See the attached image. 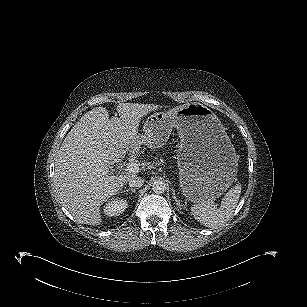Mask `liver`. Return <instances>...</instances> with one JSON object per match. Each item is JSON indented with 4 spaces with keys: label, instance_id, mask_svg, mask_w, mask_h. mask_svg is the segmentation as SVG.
I'll return each instance as SVG.
<instances>
[{
    "label": "liver",
    "instance_id": "obj_1",
    "mask_svg": "<svg viewBox=\"0 0 307 307\" xmlns=\"http://www.w3.org/2000/svg\"><path fill=\"white\" fill-rule=\"evenodd\" d=\"M160 108L151 104L120 103L119 117L96 107L81 117L64 139L55 158L54 186L63 206L80 223L99 225L101 203L135 176L110 175L109 166L119 163L130 149L138 154L147 145L138 133L142 116Z\"/></svg>",
    "mask_w": 307,
    "mask_h": 307
}]
</instances>
